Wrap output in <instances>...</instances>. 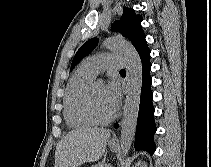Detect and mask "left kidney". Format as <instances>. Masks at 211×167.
I'll return each mask as SVG.
<instances>
[{
	"mask_svg": "<svg viewBox=\"0 0 211 167\" xmlns=\"http://www.w3.org/2000/svg\"><path fill=\"white\" fill-rule=\"evenodd\" d=\"M136 167H147V166H146L145 163L144 164L143 163L141 164V162H138Z\"/></svg>",
	"mask_w": 211,
	"mask_h": 167,
	"instance_id": "5707ae66",
	"label": "left kidney"
}]
</instances>
